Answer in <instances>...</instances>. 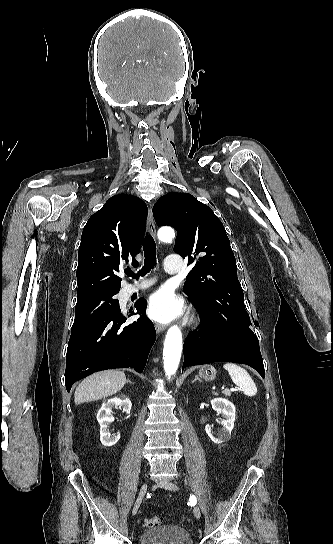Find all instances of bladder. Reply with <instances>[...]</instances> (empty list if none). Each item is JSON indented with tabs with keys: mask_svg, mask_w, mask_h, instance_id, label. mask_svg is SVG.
Instances as JSON below:
<instances>
[{
	"mask_svg": "<svg viewBox=\"0 0 333 544\" xmlns=\"http://www.w3.org/2000/svg\"><path fill=\"white\" fill-rule=\"evenodd\" d=\"M138 544H193V539L182 527L164 525L144 531Z\"/></svg>",
	"mask_w": 333,
	"mask_h": 544,
	"instance_id": "obj_1",
	"label": "bladder"
}]
</instances>
